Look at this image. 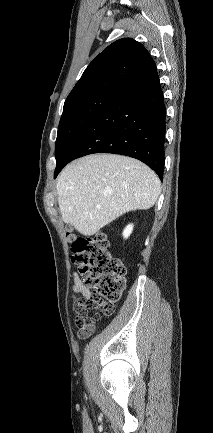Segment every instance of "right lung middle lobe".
<instances>
[{
  "mask_svg": "<svg viewBox=\"0 0 213 433\" xmlns=\"http://www.w3.org/2000/svg\"><path fill=\"white\" fill-rule=\"evenodd\" d=\"M120 95L102 92L64 104L56 139V160L74 138Z\"/></svg>",
  "mask_w": 213,
  "mask_h": 433,
  "instance_id": "obj_1",
  "label": "right lung middle lobe"
}]
</instances>
